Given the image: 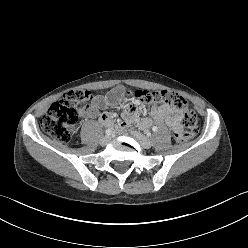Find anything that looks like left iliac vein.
I'll return each instance as SVG.
<instances>
[{"instance_id": "left-iliac-vein-1", "label": "left iliac vein", "mask_w": 248, "mask_h": 248, "mask_svg": "<svg viewBox=\"0 0 248 248\" xmlns=\"http://www.w3.org/2000/svg\"><path fill=\"white\" fill-rule=\"evenodd\" d=\"M131 133L140 142L141 146L145 149H149L152 146V141L150 138L136 131H132Z\"/></svg>"}]
</instances>
